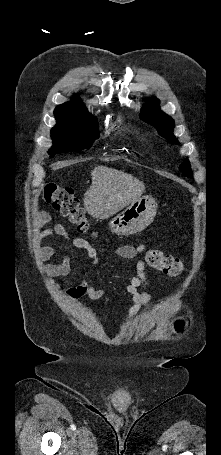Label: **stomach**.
Segmentation results:
<instances>
[{"mask_svg": "<svg viewBox=\"0 0 221 455\" xmlns=\"http://www.w3.org/2000/svg\"><path fill=\"white\" fill-rule=\"evenodd\" d=\"M157 208L158 205L151 195L140 197L109 222V229L117 235L138 233L153 222Z\"/></svg>", "mask_w": 221, "mask_h": 455, "instance_id": "0dacf381", "label": "stomach"}]
</instances>
